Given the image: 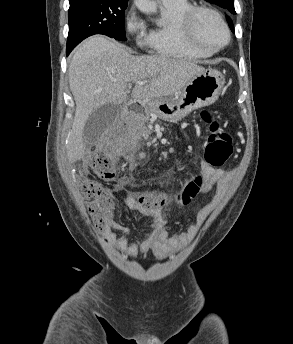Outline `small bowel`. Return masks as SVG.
<instances>
[{
	"label": "small bowel",
	"instance_id": "small-bowel-1",
	"mask_svg": "<svg viewBox=\"0 0 293 344\" xmlns=\"http://www.w3.org/2000/svg\"><path fill=\"white\" fill-rule=\"evenodd\" d=\"M230 176L228 172L216 170L203 162L198 179L199 193H208L216 183L227 181ZM113 192L129 209L144 211L151 219L150 226L142 234L143 240L140 243L128 239L129 228L112 218L105 221L102 227L104 241L129 258H134L139 253L145 255L151 251L156 258L163 260L178 252L192 241L198 229L204 224L219 201V197H217L213 202L199 210L194 220L185 230L178 233H170L166 227L167 220L163 209L157 206H143L134 195L122 194V185L120 183L115 185ZM116 232H119V235Z\"/></svg>",
	"mask_w": 293,
	"mask_h": 344
}]
</instances>
